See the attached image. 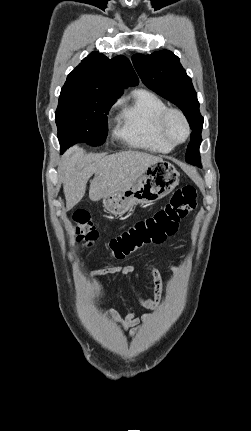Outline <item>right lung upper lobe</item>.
Segmentation results:
<instances>
[{"label": "right lung upper lobe", "instance_id": "cb5924a9", "mask_svg": "<svg viewBox=\"0 0 251 431\" xmlns=\"http://www.w3.org/2000/svg\"><path fill=\"white\" fill-rule=\"evenodd\" d=\"M138 82L132 65L125 56L109 59L99 52H92L68 75L64 87L120 97L125 88Z\"/></svg>", "mask_w": 251, "mask_h": 431}]
</instances>
